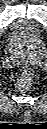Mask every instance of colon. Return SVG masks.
<instances>
[{"instance_id":"5ec220e1","label":"colon","mask_w":47,"mask_h":129,"mask_svg":"<svg viewBox=\"0 0 47 129\" xmlns=\"http://www.w3.org/2000/svg\"><path fill=\"white\" fill-rule=\"evenodd\" d=\"M33 78V70L27 66L23 67L16 81L17 88L21 91L27 90L31 86Z\"/></svg>"}]
</instances>
